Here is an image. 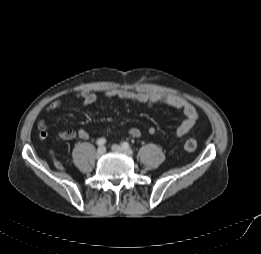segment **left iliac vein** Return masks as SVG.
<instances>
[{"instance_id": "obj_1", "label": "left iliac vein", "mask_w": 261, "mask_h": 254, "mask_svg": "<svg viewBox=\"0 0 261 254\" xmlns=\"http://www.w3.org/2000/svg\"><path fill=\"white\" fill-rule=\"evenodd\" d=\"M112 150L113 151L124 152V153H126L128 155H132V153H133L131 149H125V148H123V147H121L119 145H116V144L112 145Z\"/></svg>"}]
</instances>
